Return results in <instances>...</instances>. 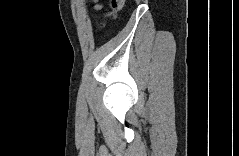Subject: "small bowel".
<instances>
[{
	"label": "small bowel",
	"instance_id": "c3829d8e",
	"mask_svg": "<svg viewBox=\"0 0 239 156\" xmlns=\"http://www.w3.org/2000/svg\"><path fill=\"white\" fill-rule=\"evenodd\" d=\"M95 8H96L97 10L102 9V5H101V4H96V5H95Z\"/></svg>",
	"mask_w": 239,
	"mask_h": 156
}]
</instances>
